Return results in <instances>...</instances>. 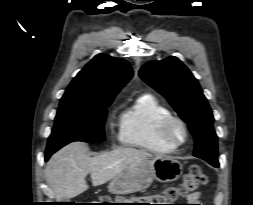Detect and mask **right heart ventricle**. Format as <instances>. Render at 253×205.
Listing matches in <instances>:
<instances>
[{
    "instance_id": "right-heart-ventricle-1",
    "label": "right heart ventricle",
    "mask_w": 253,
    "mask_h": 205,
    "mask_svg": "<svg viewBox=\"0 0 253 205\" xmlns=\"http://www.w3.org/2000/svg\"><path fill=\"white\" fill-rule=\"evenodd\" d=\"M171 110L152 94L136 98L119 118V141L130 147L153 153H170L175 148L168 146L159 137V127Z\"/></svg>"
}]
</instances>
